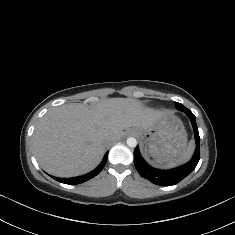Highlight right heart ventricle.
I'll return each instance as SVG.
<instances>
[{
	"label": "right heart ventricle",
	"mask_w": 235,
	"mask_h": 235,
	"mask_svg": "<svg viewBox=\"0 0 235 235\" xmlns=\"http://www.w3.org/2000/svg\"><path fill=\"white\" fill-rule=\"evenodd\" d=\"M122 105V103H119V106H121Z\"/></svg>",
	"instance_id": "obj_1"
}]
</instances>
